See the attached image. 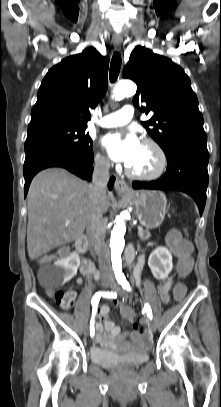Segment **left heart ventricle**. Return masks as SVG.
Here are the masks:
<instances>
[{"label":"left heart ventricle","mask_w":221,"mask_h":407,"mask_svg":"<svg viewBox=\"0 0 221 407\" xmlns=\"http://www.w3.org/2000/svg\"><path fill=\"white\" fill-rule=\"evenodd\" d=\"M160 165V159L155 149L149 145L142 144L135 158L129 163V167L140 174L155 172Z\"/></svg>","instance_id":"1"}]
</instances>
